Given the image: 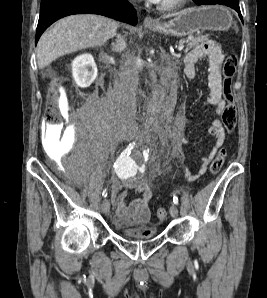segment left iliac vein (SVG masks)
I'll return each mask as SVG.
<instances>
[{"label":"left iliac vein","mask_w":267,"mask_h":298,"mask_svg":"<svg viewBox=\"0 0 267 298\" xmlns=\"http://www.w3.org/2000/svg\"><path fill=\"white\" fill-rule=\"evenodd\" d=\"M169 211H170V214H171L172 217H177L178 216V208L176 207V205L172 204L170 206Z\"/></svg>","instance_id":"1"}]
</instances>
